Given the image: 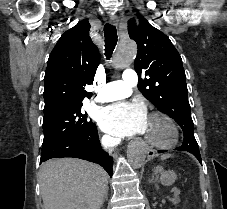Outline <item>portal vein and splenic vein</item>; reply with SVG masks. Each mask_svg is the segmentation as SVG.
<instances>
[{"mask_svg": "<svg viewBox=\"0 0 227 209\" xmlns=\"http://www.w3.org/2000/svg\"><path fill=\"white\" fill-rule=\"evenodd\" d=\"M175 189L177 188L176 186L174 187ZM174 188H171L170 190H168L167 192L168 193H174L172 196L174 197V198H176L177 196H178V194L180 193L178 190L176 191Z\"/></svg>", "mask_w": 227, "mask_h": 209, "instance_id": "18ae733b", "label": "portal vein and splenic vein"}]
</instances>
